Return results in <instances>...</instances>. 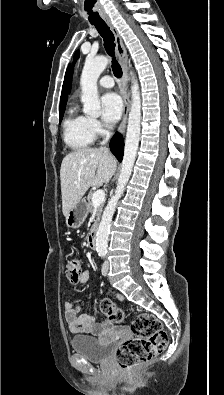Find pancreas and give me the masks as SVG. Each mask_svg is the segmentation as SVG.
<instances>
[{"instance_id":"obj_1","label":"pancreas","mask_w":224,"mask_h":395,"mask_svg":"<svg viewBox=\"0 0 224 395\" xmlns=\"http://www.w3.org/2000/svg\"><path fill=\"white\" fill-rule=\"evenodd\" d=\"M94 193L95 192L91 191V192H89V194L87 196L86 208H87V211L91 212V213L94 211V206H93V203H92V197H93ZM103 206H104V203H101L99 206H97V208H96V220H95V223L93 224L91 230H94L96 228L97 223L99 222L100 217H101Z\"/></svg>"}]
</instances>
